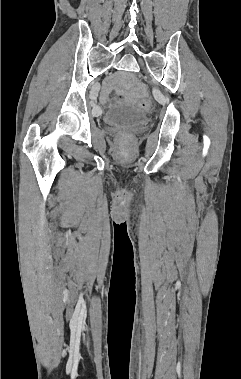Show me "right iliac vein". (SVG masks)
Returning a JSON list of instances; mask_svg holds the SVG:
<instances>
[{
  "mask_svg": "<svg viewBox=\"0 0 241 379\" xmlns=\"http://www.w3.org/2000/svg\"><path fill=\"white\" fill-rule=\"evenodd\" d=\"M94 111H95V112H98V111H99V109H98L97 107H95V108H94Z\"/></svg>",
  "mask_w": 241,
  "mask_h": 379,
  "instance_id": "obj_1",
  "label": "right iliac vein"
}]
</instances>
